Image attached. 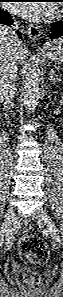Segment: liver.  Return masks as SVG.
Listing matches in <instances>:
<instances>
[{"instance_id":"obj_1","label":"liver","mask_w":63,"mask_h":297,"mask_svg":"<svg viewBox=\"0 0 63 297\" xmlns=\"http://www.w3.org/2000/svg\"><path fill=\"white\" fill-rule=\"evenodd\" d=\"M9 44V34L5 30H3V27L0 28V55L1 52H4ZM16 52H17V61L19 64H22L24 60L26 59L27 55V49L24 44L19 43L16 46Z\"/></svg>"}]
</instances>
